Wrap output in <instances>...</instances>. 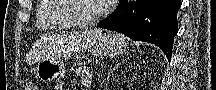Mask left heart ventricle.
I'll list each match as a JSON object with an SVG mask.
<instances>
[{"label":"left heart ventricle","instance_id":"1","mask_svg":"<svg viewBox=\"0 0 216 90\" xmlns=\"http://www.w3.org/2000/svg\"><path fill=\"white\" fill-rule=\"evenodd\" d=\"M101 1H74V13L82 18H93L97 15Z\"/></svg>","mask_w":216,"mask_h":90}]
</instances>
